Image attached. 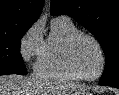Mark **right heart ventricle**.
<instances>
[{"label": "right heart ventricle", "instance_id": "right-heart-ventricle-1", "mask_svg": "<svg viewBox=\"0 0 119 95\" xmlns=\"http://www.w3.org/2000/svg\"><path fill=\"white\" fill-rule=\"evenodd\" d=\"M79 32L76 25L67 17L52 19L50 33L44 40L39 53L36 72L45 77L74 80L64 63V47L67 40Z\"/></svg>", "mask_w": 119, "mask_h": 95}]
</instances>
